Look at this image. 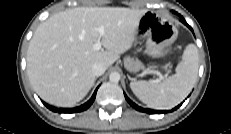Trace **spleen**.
<instances>
[{"label":"spleen","mask_w":231,"mask_h":134,"mask_svg":"<svg viewBox=\"0 0 231 134\" xmlns=\"http://www.w3.org/2000/svg\"><path fill=\"white\" fill-rule=\"evenodd\" d=\"M198 68V49L194 44H188L174 75L162 82L133 81L130 87L147 106L154 109H171L183 101L193 88Z\"/></svg>","instance_id":"3e777b00"}]
</instances>
